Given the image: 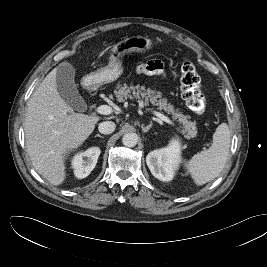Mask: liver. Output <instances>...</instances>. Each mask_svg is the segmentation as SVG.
Returning a JSON list of instances; mask_svg holds the SVG:
<instances>
[{
    "label": "liver",
    "mask_w": 267,
    "mask_h": 267,
    "mask_svg": "<svg viewBox=\"0 0 267 267\" xmlns=\"http://www.w3.org/2000/svg\"><path fill=\"white\" fill-rule=\"evenodd\" d=\"M56 72L54 68L33 92L24 131L35 170L58 186L66 178L65 154L83 144L100 117L74 113L58 92Z\"/></svg>",
    "instance_id": "liver-1"
}]
</instances>
